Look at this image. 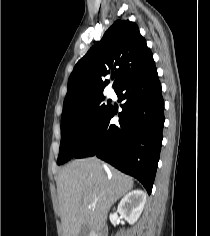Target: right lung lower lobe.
Returning a JSON list of instances; mask_svg holds the SVG:
<instances>
[{"label":"right lung lower lobe","mask_w":210,"mask_h":236,"mask_svg":"<svg viewBox=\"0 0 210 236\" xmlns=\"http://www.w3.org/2000/svg\"><path fill=\"white\" fill-rule=\"evenodd\" d=\"M122 112L109 123L112 108L74 158L96 155L137 178L152 191L164 126V101L155 63L122 82L115 90Z\"/></svg>","instance_id":"98d812e1"}]
</instances>
